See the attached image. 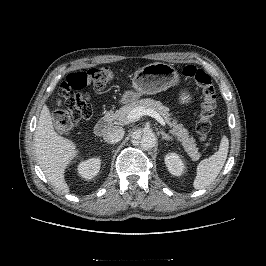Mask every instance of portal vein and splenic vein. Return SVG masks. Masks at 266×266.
I'll list each match as a JSON object with an SVG mask.
<instances>
[{
	"instance_id": "18ae733b",
	"label": "portal vein and splenic vein",
	"mask_w": 266,
	"mask_h": 266,
	"mask_svg": "<svg viewBox=\"0 0 266 266\" xmlns=\"http://www.w3.org/2000/svg\"><path fill=\"white\" fill-rule=\"evenodd\" d=\"M144 115H149L153 118H155L162 126L166 125L165 120L160 116L159 113H157L156 111L152 110V109H146L144 107H136L134 108L128 115V119L131 122H135L137 121L140 117L144 116Z\"/></svg>"
}]
</instances>
